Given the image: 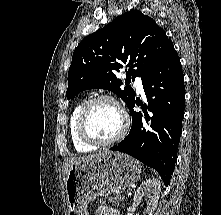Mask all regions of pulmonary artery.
I'll use <instances>...</instances> for the list:
<instances>
[{"instance_id":"pulmonary-artery-1","label":"pulmonary artery","mask_w":221,"mask_h":215,"mask_svg":"<svg viewBox=\"0 0 221 215\" xmlns=\"http://www.w3.org/2000/svg\"><path fill=\"white\" fill-rule=\"evenodd\" d=\"M134 86H135L138 93L143 92V85H142V81L140 78H136Z\"/></svg>"}]
</instances>
